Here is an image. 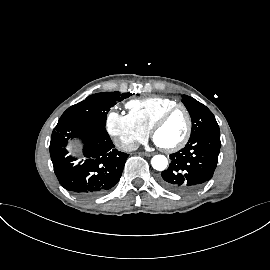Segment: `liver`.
Segmentation results:
<instances>
[{
  "instance_id": "6515ba94",
  "label": "liver",
  "mask_w": 270,
  "mask_h": 270,
  "mask_svg": "<svg viewBox=\"0 0 270 270\" xmlns=\"http://www.w3.org/2000/svg\"><path fill=\"white\" fill-rule=\"evenodd\" d=\"M69 150L72 152V153H78L80 151V147L77 143L73 142L70 147H69Z\"/></svg>"
}]
</instances>
